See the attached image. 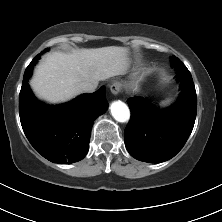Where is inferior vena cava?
Instances as JSON below:
<instances>
[{"mask_svg": "<svg viewBox=\"0 0 222 222\" xmlns=\"http://www.w3.org/2000/svg\"><path fill=\"white\" fill-rule=\"evenodd\" d=\"M98 83L97 82H82L79 85V88L82 92L92 93L96 90Z\"/></svg>", "mask_w": 222, "mask_h": 222, "instance_id": "inferior-vena-cava-1", "label": "inferior vena cava"}]
</instances>
